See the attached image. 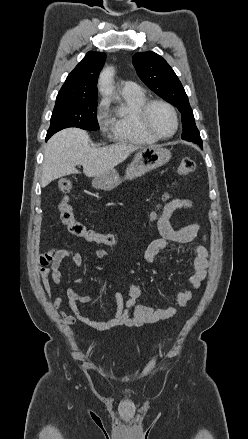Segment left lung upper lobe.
<instances>
[{
	"mask_svg": "<svg viewBox=\"0 0 248 439\" xmlns=\"http://www.w3.org/2000/svg\"><path fill=\"white\" fill-rule=\"evenodd\" d=\"M133 63L140 79L157 95L173 104L182 114V139L202 147L193 111L185 90L168 63L154 52L136 53Z\"/></svg>",
	"mask_w": 248,
	"mask_h": 439,
	"instance_id": "obj_1",
	"label": "left lung upper lobe"
}]
</instances>
